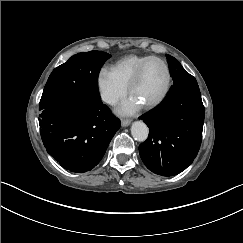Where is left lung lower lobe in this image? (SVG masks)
<instances>
[{"mask_svg":"<svg viewBox=\"0 0 243 243\" xmlns=\"http://www.w3.org/2000/svg\"><path fill=\"white\" fill-rule=\"evenodd\" d=\"M149 137L139 146L146 167L162 176L185 170L198 154L204 123L199 88H178L154 110L140 117Z\"/></svg>","mask_w":243,"mask_h":243,"instance_id":"left-lung-lower-lobe-1","label":"left lung lower lobe"}]
</instances>
